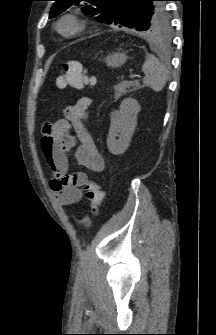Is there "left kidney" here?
Listing matches in <instances>:
<instances>
[{
	"mask_svg": "<svg viewBox=\"0 0 216 335\" xmlns=\"http://www.w3.org/2000/svg\"><path fill=\"white\" fill-rule=\"evenodd\" d=\"M139 112L140 105L137 100L129 97L121 102L119 111L111 120L107 137V147L113 155H121L128 149Z\"/></svg>",
	"mask_w": 216,
	"mask_h": 335,
	"instance_id": "obj_1",
	"label": "left kidney"
}]
</instances>
